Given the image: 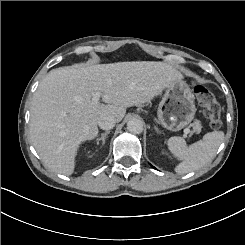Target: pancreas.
<instances>
[{
	"label": "pancreas",
	"instance_id": "1",
	"mask_svg": "<svg viewBox=\"0 0 245 245\" xmlns=\"http://www.w3.org/2000/svg\"><path fill=\"white\" fill-rule=\"evenodd\" d=\"M190 127L193 128V132L199 134L201 132L202 126L199 120H195L193 123L190 124Z\"/></svg>",
	"mask_w": 245,
	"mask_h": 245
}]
</instances>
